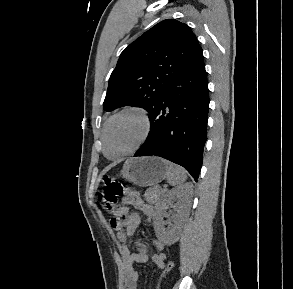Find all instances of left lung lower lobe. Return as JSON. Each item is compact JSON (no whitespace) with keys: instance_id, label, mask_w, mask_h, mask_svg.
<instances>
[{"instance_id":"left-lung-lower-lobe-1","label":"left lung lower lobe","mask_w":293,"mask_h":289,"mask_svg":"<svg viewBox=\"0 0 293 289\" xmlns=\"http://www.w3.org/2000/svg\"><path fill=\"white\" fill-rule=\"evenodd\" d=\"M208 82L203 53L174 79L149 112L150 133L134 156L183 166L197 182L207 138Z\"/></svg>"}]
</instances>
